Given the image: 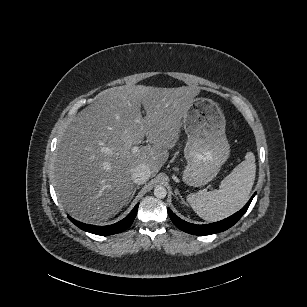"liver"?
<instances>
[{"label":"liver","instance_id":"1","mask_svg":"<svg viewBox=\"0 0 307 307\" xmlns=\"http://www.w3.org/2000/svg\"><path fill=\"white\" fill-rule=\"evenodd\" d=\"M199 92L194 86L123 85L99 93L60 139L51 167L59 203L85 223L99 224L116 215L129 203L133 169L144 163L154 177L167 161L179 139L181 119ZM145 136L152 145L131 153Z\"/></svg>","mask_w":307,"mask_h":307}]
</instances>
